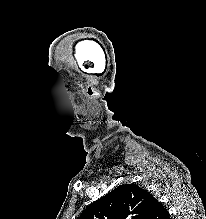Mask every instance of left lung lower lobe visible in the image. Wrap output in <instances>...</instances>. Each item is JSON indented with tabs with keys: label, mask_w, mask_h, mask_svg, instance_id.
<instances>
[{
	"label": "left lung lower lobe",
	"mask_w": 206,
	"mask_h": 219,
	"mask_svg": "<svg viewBox=\"0 0 206 219\" xmlns=\"http://www.w3.org/2000/svg\"><path fill=\"white\" fill-rule=\"evenodd\" d=\"M149 219H170L169 212L163 205H161L157 199L152 201V212Z\"/></svg>",
	"instance_id": "1"
}]
</instances>
